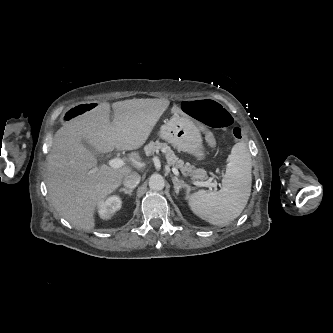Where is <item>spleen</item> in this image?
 Segmentation results:
<instances>
[{"mask_svg": "<svg viewBox=\"0 0 333 333\" xmlns=\"http://www.w3.org/2000/svg\"><path fill=\"white\" fill-rule=\"evenodd\" d=\"M252 159L245 142L236 143L228 156L219 191L200 190L188 197L192 212L212 225H227L247 205L252 184Z\"/></svg>", "mask_w": 333, "mask_h": 333, "instance_id": "3e777b00", "label": "spleen"}]
</instances>
